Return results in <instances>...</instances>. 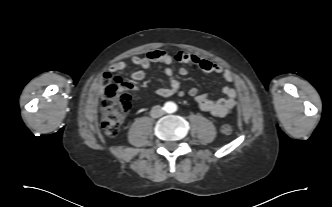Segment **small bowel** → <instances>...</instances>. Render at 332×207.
I'll return each mask as SVG.
<instances>
[{
    "label": "small bowel",
    "instance_id": "small-bowel-1",
    "mask_svg": "<svg viewBox=\"0 0 332 207\" xmlns=\"http://www.w3.org/2000/svg\"><path fill=\"white\" fill-rule=\"evenodd\" d=\"M131 62L133 65L139 67L138 70L131 74V79L134 81L143 80L153 64L160 63L165 66L164 73L168 78L169 85L167 87H161L155 90V95L159 97H169L176 93L183 94V91H181L180 82L176 79L172 69V64L174 62H179L196 65L207 73L218 74L222 76V78L229 84L223 91L224 97L218 100H211L206 94H200L198 89L195 87L190 88L188 90V95L194 99L195 103L201 110L208 112L216 117H225L230 114L236 104L237 92L236 89L232 86L234 81L233 73L230 70L224 69L219 64L208 59L183 51L178 52L175 56H172L164 50L155 49L149 51L143 57H133ZM127 67V63L123 61L113 63L109 70L104 73L103 79L108 80L111 77L112 72L123 71L127 69ZM179 74L186 75L187 69L181 68L179 70Z\"/></svg>",
    "mask_w": 332,
    "mask_h": 207
}]
</instances>
